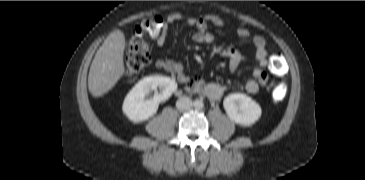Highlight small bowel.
I'll return each instance as SVG.
<instances>
[{
    "mask_svg": "<svg viewBox=\"0 0 365 180\" xmlns=\"http://www.w3.org/2000/svg\"><path fill=\"white\" fill-rule=\"evenodd\" d=\"M175 22H185L190 26L196 28L194 39L198 42L209 43L215 38L214 34L209 30L208 25L212 24L216 27L223 28L225 26L224 20L217 15H209L207 17L195 18L185 16L181 13H172L167 16L166 23L161 33L155 37L156 44L163 46L166 42L168 25ZM236 35L241 39L250 37V31L247 28H238ZM254 47V60L256 65L252 71L253 78L248 80L244 85V90L249 94H256L262 85L267 82L268 76L266 73L267 67V49L266 42L262 36H254L252 38ZM224 56L229 61V66L232 71H236L241 63L244 61V56L236 49L228 47L223 51ZM156 66L160 69L166 70L176 74L177 80L185 84L186 90L190 93H199L210 100H219L227 90V86L217 82H205L201 79L191 80L184 72L183 65L180 62L170 59H158Z\"/></svg>",
    "mask_w": 365,
    "mask_h": 180,
    "instance_id": "small-bowel-1",
    "label": "small bowel"
}]
</instances>
